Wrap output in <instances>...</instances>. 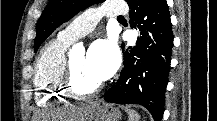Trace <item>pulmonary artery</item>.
<instances>
[{"label": "pulmonary artery", "mask_w": 217, "mask_h": 121, "mask_svg": "<svg viewBox=\"0 0 217 121\" xmlns=\"http://www.w3.org/2000/svg\"><path fill=\"white\" fill-rule=\"evenodd\" d=\"M127 12L128 8L125 5L117 2L106 3L84 12L60 31L58 36L68 42H73L91 32L102 16L119 18Z\"/></svg>", "instance_id": "1"}]
</instances>
